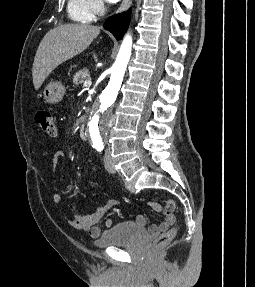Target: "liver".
I'll return each instance as SVG.
<instances>
[{
	"mask_svg": "<svg viewBox=\"0 0 255 287\" xmlns=\"http://www.w3.org/2000/svg\"><path fill=\"white\" fill-rule=\"evenodd\" d=\"M98 34L100 28L89 24H64L47 32L38 46L33 62L32 78L35 90H39L57 66L87 50Z\"/></svg>",
	"mask_w": 255,
	"mask_h": 287,
	"instance_id": "6515ba94",
	"label": "liver"
}]
</instances>
